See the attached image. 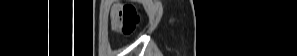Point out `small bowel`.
Here are the masks:
<instances>
[{
    "instance_id": "small-bowel-1",
    "label": "small bowel",
    "mask_w": 297,
    "mask_h": 56,
    "mask_svg": "<svg viewBox=\"0 0 297 56\" xmlns=\"http://www.w3.org/2000/svg\"><path fill=\"white\" fill-rule=\"evenodd\" d=\"M117 9H118V6H115L111 11V27L115 31H118V24H119Z\"/></svg>"
}]
</instances>
